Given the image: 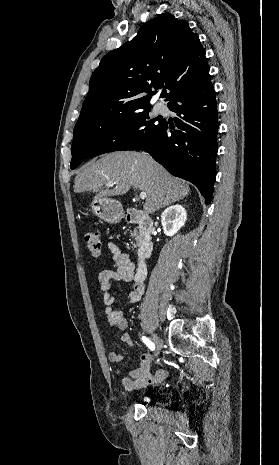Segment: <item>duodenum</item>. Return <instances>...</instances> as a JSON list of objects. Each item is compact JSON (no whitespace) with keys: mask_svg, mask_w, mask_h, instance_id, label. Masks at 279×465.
I'll list each match as a JSON object with an SVG mask.
<instances>
[{"mask_svg":"<svg viewBox=\"0 0 279 465\" xmlns=\"http://www.w3.org/2000/svg\"><path fill=\"white\" fill-rule=\"evenodd\" d=\"M125 219L128 223L136 224L139 229L140 240L137 249L139 262L134 274V279L136 281H143L147 273L146 260L151 256L153 250V222L148 215L139 210L128 211Z\"/></svg>","mask_w":279,"mask_h":465,"instance_id":"duodenum-1","label":"duodenum"}]
</instances>
